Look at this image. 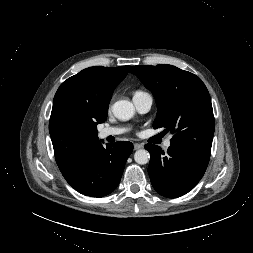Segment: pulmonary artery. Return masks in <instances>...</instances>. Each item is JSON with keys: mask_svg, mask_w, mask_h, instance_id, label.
Returning <instances> with one entry per match:
<instances>
[{"mask_svg": "<svg viewBox=\"0 0 253 253\" xmlns=\"http://www.w3.org/2000/svg\"><path fill=\"white\" fill-rule=\"evenodd\" d=\"M133 103L139 113H147L153 103V98L149 93L137 92L133 96ZM126 131L125 128L121 127H105L101 129L98 133L99 137L104 139L108 136H116L122 134ZM171 145L170 138L166 139L164 142V148L168 149Z\"/></svg>", "mask_w": 253, "mask_h": 253, "instance_id": "1", "label": "pulmonary artery"}]
</instances>
